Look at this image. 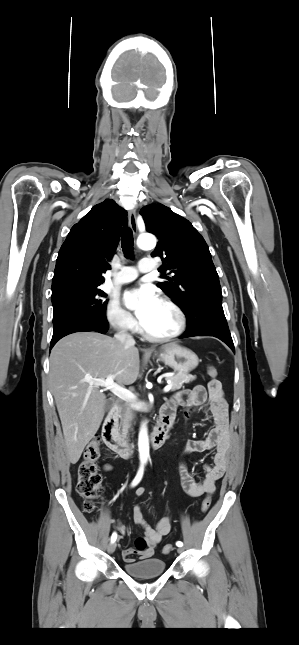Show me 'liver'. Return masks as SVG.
I'll return each mask as SVG.
<instances>
[{"label":"liver","instance_id":"6515ba94","mask_svg":"<svg viewBox=\"0 0 299 645\" xmlns=\"http://www.w3.org/2000/svg\"><path fill=\"white\" fill-rule=\"evenodd\" d=\"M177 346L167 344V350ZM139 350L97 332H78L62 338L50 354V385L62 424L66 453L78 462L98 431L106 396L89 379L114 376L119 385L133 384L139 376Z\"/></svg>","mask_w":299,"mask_h":645}]
</instances>
